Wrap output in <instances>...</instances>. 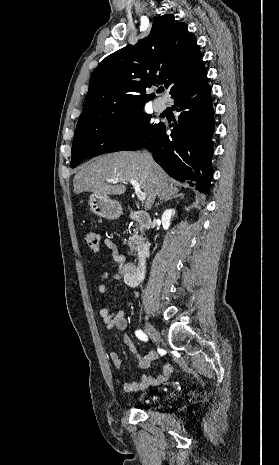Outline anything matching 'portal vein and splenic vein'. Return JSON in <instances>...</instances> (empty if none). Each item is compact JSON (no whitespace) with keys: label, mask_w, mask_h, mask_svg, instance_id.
I'll use <instances>...</instances> for the list:
<instances>
[{"label":"portal vein and splenic vein","mask_w":279,"mask_h":465,"mask_svg":"<svg viewBox=\"0 0 279 465\" xmlns=\"http://www.w3.org/2000/svg\"><path fill=\"white\" fill-rule=\"evenodd\" d=\"M119 180H124V179H122V178H121V179L115 178V179H111V180H109V181H110V183L115 184V183H117ZM129 182H130V184L134 187V190H135V193L137 194L138 199H139L140 201H142V202L145 201L147 195H146L145 192H142V191H141L139 183H138L137 181L133 180V179H129Z\"/></svg>","instance_id":"obj_1"}]
</instances>
